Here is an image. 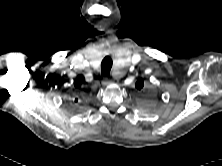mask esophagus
<instances>
[{"label":"esophagus","mask_w":222,"mask_h":166,"mask_svg":"<svg viewBox=\"0 0 222 166\" xmlns=\"http://www.w3.org/2000/svg\"><path fill=\"white\" fill-rule=\"evenodd\" d=\"M120 77H122V74H120ZM110 83V81L108 79H103L102 84L104 86L108 85Z\"/></svg>","instance_id":"esophagus-1"}]
</instances>
